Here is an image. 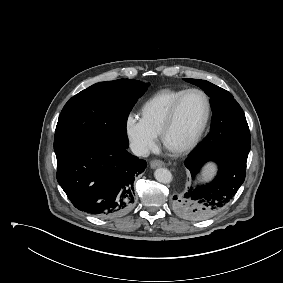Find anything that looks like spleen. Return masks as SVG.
<instances>
[{
  "instance_id": "spleen-1",
  "label": "spleen",
  "mask_w": 283,
  "mask_h": 283,
  "mask_svg": "<svg viewBox=\"0 0 283 283\" xmlns=\"http://www.w3.org/2000/svg\"><path fill=\"white\" fill-rule=\"evenodd\" d=\"M211 170H212V168L210 167V168H209V171H211Z\"/></svg>"
}]
</instances>
